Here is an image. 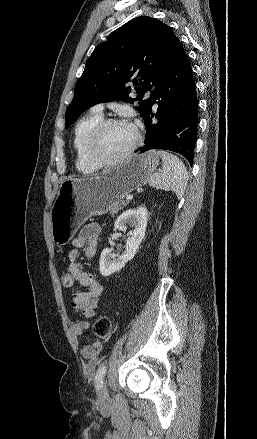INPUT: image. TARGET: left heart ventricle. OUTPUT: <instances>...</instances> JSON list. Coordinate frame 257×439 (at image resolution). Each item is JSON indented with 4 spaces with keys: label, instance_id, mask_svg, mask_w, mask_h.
Here are the masks:
<instances>
[{
    "label": "left heart ventricle",
    "instance_id": "b2bd125f",
    "mask_svg": "<svg viewBox=\"0 0 257 439\" xmlns=\"http://www.w3.org/2000/svg\"><path fill=\"white\" fill-rule=\"evenodd\" d=\"M135 139V131L128 125H113L105 130L97 146L103 159H112L122 153Z\"/></svg>",
    "mask_w": 257,
    "mask_h": 439
}]
</instances>
